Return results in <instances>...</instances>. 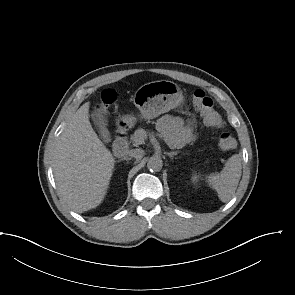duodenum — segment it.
<instances>
[{
  "label": "duodenum",
  "mask_w": 295,
  "mask_h": 295,
  "mask_svg": "<svg viewBox=\"0 0 295 295\" xmlns=\"http://www.w3.org/2000/svg\"><path fill=\"white\" fill-rule=\"evenodd\" d=\"M128 151V136L125 130L118 129L113 142V152L118 157H124Z\"/></svg>",
  "instance_id": "1"
}]
</instances>
